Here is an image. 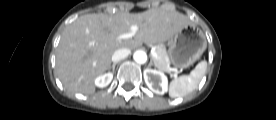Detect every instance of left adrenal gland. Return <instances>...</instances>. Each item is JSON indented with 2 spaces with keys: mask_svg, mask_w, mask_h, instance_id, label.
Masks as SVG:
<instances>
[{
  "mask_svg": "<svg viewBox=\"0 0 276 120\" xmlns=\"http://www.w3.org/2000/svg\"><path fill=\"white\" fill-rule=\"evenodd\" d=\"M153 61H154V59H153V57H152L151 60H150L149 66H152V65H153Z\"/></svg>",
  "mask_w": 276,
  "mask_h": 120,
  "instance_id": "obj_1",
  "label": "left adrenal gland"
}]
</instances>
